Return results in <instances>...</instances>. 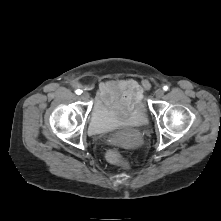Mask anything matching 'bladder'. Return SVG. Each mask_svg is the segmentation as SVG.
<instances>
[{"instance_id":"obj_1","label":"bladder","mask_w":221,"mask_h":221,"mask_svg":"<svg viewBox=\"0 0 221 221\" xmlns=\"http://www.w3.org/2000/svg\"><path fill=\"white\" fill-rule=\"evenodd\" d=\"M147 120V112L142 103L131 112H125L116 105L106 104L99 95L90 115L89 130L94 135H104L123 124L143 126Z\"/></svg>"}]
</instances>
